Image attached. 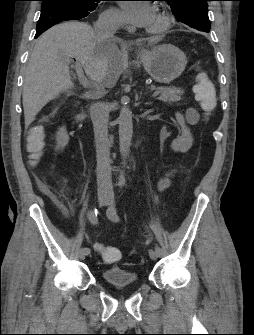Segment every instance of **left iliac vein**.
Here are the masks:
<instances>
[{"instance_id":"left-iliac-vein-1","label":"left iliac vein","mask_w":254,"mask_h":335,"mask_svg":"<svg viewBox=\"0 0 254 335\" xmlns=\"http://www.w3.org/2000/svg\"><path fill=\"white\" fill-rule=\"evenodd\" d=\"M149 256L152 260H156L158 258V254L153 249L149 250Z\"/></svg>"}]
</instances>
